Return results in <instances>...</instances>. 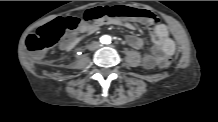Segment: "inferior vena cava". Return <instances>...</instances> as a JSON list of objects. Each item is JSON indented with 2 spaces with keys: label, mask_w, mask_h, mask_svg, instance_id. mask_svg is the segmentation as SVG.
Returning <instances> with one entry per match:
<instances>
[{
  "label": "inferior vena cava",
  "mask_w": 218,
  "mask_h": 122,
  "mask_svg": "<svg viewBox=\"0 0 218 122\" xmlns=\"http://www.w3.org/2000/svg\"><path fill=\"white\" fill-rule=\"evenodd\" d=\"M94 46H95V47H99L100 45H99L98 42H94Z\"/></svg>",
  "instance_id": "602c4592"
}]
</instances>
